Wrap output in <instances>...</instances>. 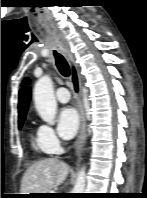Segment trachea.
Masks as SVG:
<instances>
[{
	"instance_id": "3493384b",
	"label": "trachea",
	"mask_w": 147,
	"mask_h": 198,
	"mask_svg": "<svg viewBox=\"0 0 147 198\" xmlns=\"http://www.w3.org/2000/svg\"><path fill=\"white\" fill-rule=\"evenodd\" d=\"M54 57H55L56 66H57L59 72L64 77H69L70 76V67H69L66 59L57 51H54Z\"/></svg>"
}]
</instances>
